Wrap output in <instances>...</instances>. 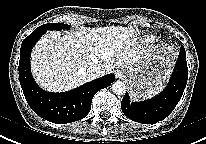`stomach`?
<instances>
[{"mask_svg":"<svg viewBox=\"0 0 206 144\" xmlns=\"http://www.w3.org/2000/svg\"><path fill=\"white\" fill-rule=\"evenodd\" d=\"M175 60L171 47L152 52L127 69L126 79L133 97H143L148 91L159 88L170 75Z\"/></svg>","mask_w":206,"mask_h":144,"instance_id":"0dacf381","label":"stomach"}]
</instances>
